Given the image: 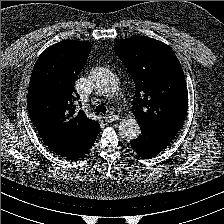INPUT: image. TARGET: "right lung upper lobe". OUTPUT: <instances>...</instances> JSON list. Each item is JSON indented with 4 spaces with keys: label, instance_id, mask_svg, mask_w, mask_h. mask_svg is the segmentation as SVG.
I'll use <instances>...</instances> for the list:
<instances>
[{
    "label": "right lung upper lobe",
    "instance_id": "right-lung-upper-lobe-1",
    "mask_svg": "<svg viewBox=\"0 0 224 224\" xmlns=\"http://www.w3.org/2000/svg\"><path fill=\"white\" fill-rule=\"evenodd\" d=\"M89 51L88 41L65 40L52 45L39 56L29 84L30 119L45 144L70 159L96 138L100 128L79 109V96L72 88Z\"/></svg>",
    "mask_w": 224,
    "mask_h": 224
}]
</instances>
